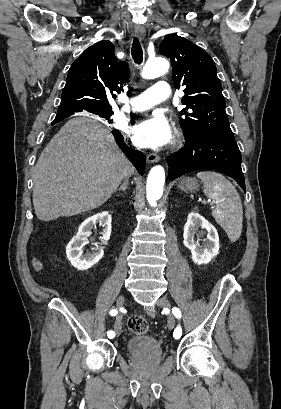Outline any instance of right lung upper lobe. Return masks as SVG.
I'll return each instance as SVG.
<instances>
[{"label":"right lung upper lobe","instance_id":"cb5924a9","mask_svg":"<svg viewBox=\"0 0 281 409\" xmlns=\"http://www.w3.org/2000/svg\"><path fill=\"white\" fill-rule=\"evenodd\" d=\"M128 77V64L117 60L113 44L97 42L71 65L58 112L112 111L110 93L123 90Z\"/></svg>","mask_w":281,"mask_h":409}]
</instances>
